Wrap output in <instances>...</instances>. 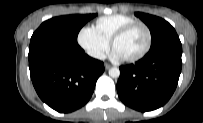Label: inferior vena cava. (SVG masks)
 <instances>
[{
	"instance_id": "inferior-vena-cava-1",
	"label": "inferior vena cava",
	"mask_w": 203,
	"mask_h": 123,
	"mask_svg": "<svg viewBox=\"0 0 203 123\" xmlns=\"http://www.w3.org/2000/svg\"><path fill=\"white\" fill-rule=\"evenodd\" d=\"M90 56L100 60H104L106 58V55L101 51H92L90 52Z\"/></svg>"
}]
</instances>
